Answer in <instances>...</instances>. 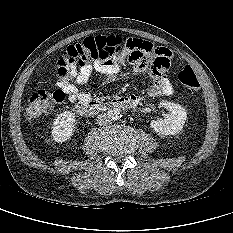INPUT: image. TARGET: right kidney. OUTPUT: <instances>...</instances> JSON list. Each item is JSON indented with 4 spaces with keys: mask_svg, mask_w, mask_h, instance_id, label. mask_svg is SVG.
Wrapping results in <instances>:
<instances>
[{
    "mask_svg": "<svg viewBox=\"0 0 233 233\" xmlns=\"http://www.w3.org/2000/svg\"><path fill=\"white\" fill-rule=\"evenodd\" d=\"M75 114L66 111L58 115L53 122L52 138L55 142H65L73 135V129L75 124Z\"/></svg>",
    "mask_w": 233,
    "mask_h": 233,
    "instance_id": "1",
    "label": "right kidney"
}]
</instances>
